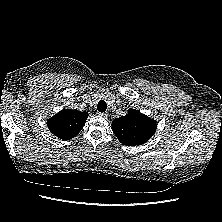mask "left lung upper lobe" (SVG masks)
Listing matches in <instances>:
<instances>
[{"label":"left lung upper lobe","mask_w":222,"mask_h":222,"mask_svg":"<svg viewBox=\"0 0 222 222\" xmlns=\"http://www.w3.org/2000/svg\"><path fill=\"white\" fill-rule=\"evenodd\" d=\"M157 129L156 122L135 109L112 121V130L119 141L126 146L146 143Z\"/></svg>","instance_id":"5c2ea615"}]
</instances>
